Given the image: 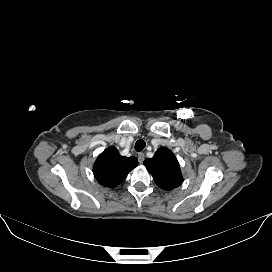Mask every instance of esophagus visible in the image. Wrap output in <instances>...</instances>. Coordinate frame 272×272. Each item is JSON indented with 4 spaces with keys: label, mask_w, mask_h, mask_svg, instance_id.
<instances>
[{
    "label": "esophagus",
    "mask_w": 272,
    "mask_h": 272,
    "mask_svg": "<svg viewBox=\"0 0 272 272\" xmlns=\"http://www.w3.org/2000/svg\"><path fill=\"white\" fill-rule=\"evenodd\" d=\"M144 159H145V154L143 152H140L138 154V161H139V163L142 164L143 161H144Z\"/></svg>",
    "instance_id": "esophagus-1"
}]
</instances>
